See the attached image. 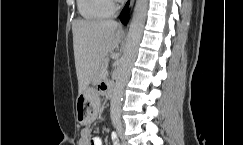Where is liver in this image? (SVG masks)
<instances>
[{
	"label": "liver",
	"mask_w": 243,
	"mask_h": 145,
	"mask_svg": "<svg viewBox=\"0 0 243 145\" xmlns=\"http://www.w3.org/2000/svg\"><path fill=\"white\" fill-rule=\"evenodd\" d=\"M72 33L78 91L83 93L96 76L100 63L118 47L121 28L112 20L76 19Z\"/></svg>",
	"instance_id": "1"
}]
</instances>
